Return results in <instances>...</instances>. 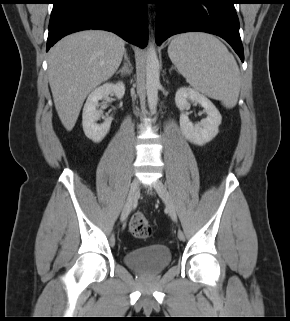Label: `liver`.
<instances>
[{"instance_id": "obj_1", "label": "liver", "mask_w": 290, "mask_h": 321, "mask_svg": "<svg viewBox=\"0 0 290 321\" xmlns=\"http://www.w3.org/2000/svg\"><path fill=\"white\" fill-rule=\"evenodd\" d=\"M125 42L114 33L86 30L57 42L48 54V78L58 116L67 131L87 95L116 72Z\"/></svg>"}]
</instances>
